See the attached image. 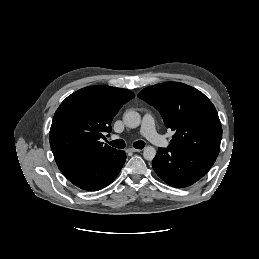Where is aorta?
I'll list each match as a JSON object with an SVG mask.
<instances>
[{"instance_id": "1", "label": "aorta", "mask_w": 259, "mask_h": 259, "mask_svg": "<svg viewBox=\"0 0 259 259\" xmlns=\"http://www.w3.org/2000/svg\"><path fill=\"white\" fill-rule=\"evenodd\" d=\"M124 124L129 128H137L141 123V116L138 112L129 110L124 113ZM156 155V150L153 146H146L143 151V157L146 160H153Z\"/></svg>"}]
</instances>
